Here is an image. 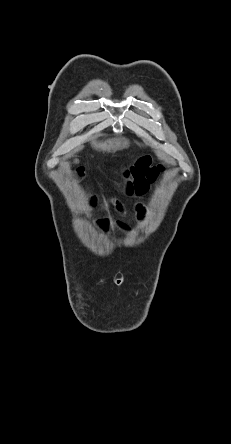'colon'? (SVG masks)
<instances>
[{"label": "colon", "mask_w": 231, "mask_h": 444, "mask_svg": "<svg viewBox=\"0 0 231 444\" xmlns=\"http://www.w3.org/2000/svg\"><path fill=\"white\" fill-rule=\"evenodd\" d=\"M159 169V167H151V159L149 157L140 158L130 170V174L134 178V183L129 186V193H143L147 184L154 178ZM79 171H81V169H79Z\"/></svg>", "instance_id": "obj_1"}]
</instances>
